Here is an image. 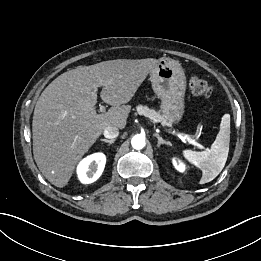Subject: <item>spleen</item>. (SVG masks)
<instances>
[{
    "instance_id": "1",
    "label": "spleen",
    "mask_w": 261,
    "mask_h": 261,
    "mask_svg": "<svg viewBox=\"0 0 261 261\" xmlns=\"http://www.w3.org/2000/svg\"><path fill=\"white\" fill-rule=\"evenodd\" d=\"M230 143V116L224 115L216 140L209 151H192L186 149L183 156L193 165L202 170L200 184L215 179L223 170L227 161Z\"/></svg>"
}]
</instances>
